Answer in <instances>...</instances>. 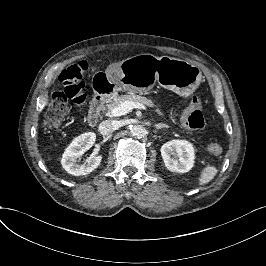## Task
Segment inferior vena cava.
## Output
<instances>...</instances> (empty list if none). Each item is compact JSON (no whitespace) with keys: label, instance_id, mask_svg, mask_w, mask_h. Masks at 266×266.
Returning a JSON list of instances; mask_svg holds the SVG:
<instances>
[{"label":"inferior vena cava","instance_id":"inferior-vena-cava-1","mask_svg":"<svg viewBox=\"0 0 266 266\" xmlns=\"http://www.w3.org/2000/svg\"><path fill=\"white\" fill-rule=\"evenodd\" d=\"M116 130V125L111 120L102 121L99 124L98 132L102 135H109Z\"/></svg>","mask_w":266,"mask_h":266}]
</instances>
